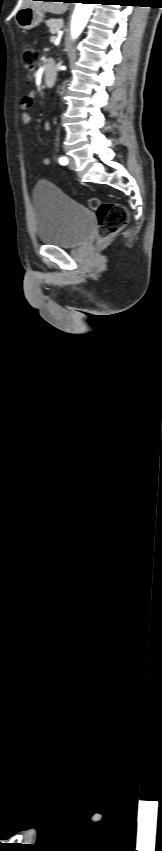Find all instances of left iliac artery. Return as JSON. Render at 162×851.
Here are the masks:
<instances>
[{
    "label": "left iliac artery",
    "instance_id": "left-iliac-artery-1",
    "mask_svg": "<svg viewBox=\"0 0 162 851\" xmlns=\"http://www.w3.org/2000/svg\"><path fill=\"white\" fill-rule=\"evenodd\" d=\"M59 163L62 164V165H66L68 163V159L65 156L60 157Z\"/></svg>",
    "mask_w": 162,
    "mask_h": 851
}]
</instances>
